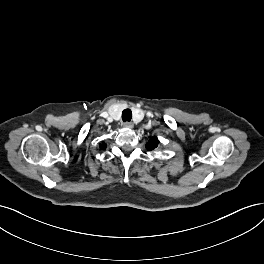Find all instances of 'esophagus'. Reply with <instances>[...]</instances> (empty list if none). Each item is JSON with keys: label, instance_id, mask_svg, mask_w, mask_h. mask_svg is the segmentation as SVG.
Wrapping results in <instances>:
<instances>
[{"label": "esophagus", "instance_id": "esophagus-1", "mask_svg": "<svg viewBox=\"0 0 264 264\" xmlns=\"http://www.w3.org/2000/svg\"><path fill=\"white\" fill-rule=\"evenodd\" d=\"M123 126L127 129H132L134 127L132 122H125Z\"/></svg>", "mask_w": 264, "mask_h": 264}]
</instances>
